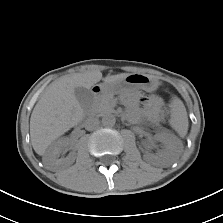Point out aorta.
Segmentation results:
<instances>
[{"instance_id":"1","label":"aorta","mask_w":223,"mask_h":223,"mask_svg":"<svg viewBox=\"0 0 223 223\" xmlns=\"http://www.w3.org/2000/svg\"><path fill=\"white\" fill-rule=\"evenodd\" d=\"M116 123V118L113 114H106L102 117V124L106 127H113Z\"/></svg>"}]
</instances>
